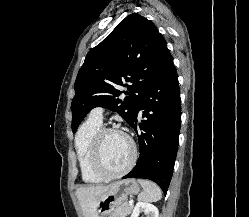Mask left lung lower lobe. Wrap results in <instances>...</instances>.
I'll return each instance as SVG.
<instances>
[{
  "instance_id": "left-lung-lower-lobe-1",
  "label": "left lung lower lobe",
  "mask_w": 249,
  "mask_h": 217,
  "mask_svg": "<svg viewBox=\"0 0 249 217\" xmlns=\"http://www.w3.org/2000/svg\"><path fill=\"white\" fill-rule=\"evenodd\" d=\"M178 76L171 54L141 96L130 126L136 131L140 156L135 168L123 178L156 182L167 193L173 175L181 127ZM144 109L137 132V114Z\"/></svg>"
}]
</instances>
